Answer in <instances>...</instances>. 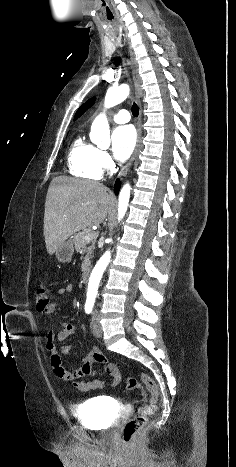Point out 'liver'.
Segmentation results:
<instances>
[{
    "label": "liver",
    "mask_w": 236,
    "mask_h": 467,
    "mask_svg": "<svg viewBox=\"0 0 236 467\" xmlns=\"http://www.w3.org/2000/svg\"><path fill=\"white\" fill-rule=\"evenodd\" d=\"M111 205L107 188L98 182L58 176L48 188L44 237L48 254L75 232L88 226L100 225Z\"/></svg>",
    "instance_id": "1"
}]
</instances>
